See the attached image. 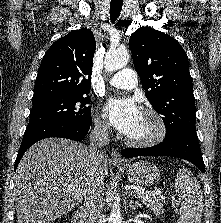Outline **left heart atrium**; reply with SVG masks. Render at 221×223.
<instances>
[{"mask_svg": "<svg viewBox=\"0 0 221 223\" xmlns=\"http://www.w3.org/2000/svg\"><path fill=\"white\" fill-rule=\"evenodd\" d=\"M104 115L122 134L129 135L138 124L141 112L131 98H113L104 105Z\"/></svg>", "mask_w": 221, "mask_h": 223, "instance_id": "left-heart-atrium-1", "label": "left heart atrium"}]
</instances>
